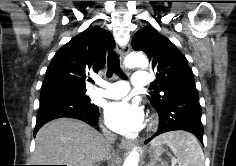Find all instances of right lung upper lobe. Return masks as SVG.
<instances>
[{
  "instance_id": "1",
  "label": "right lung upper lobe",
  "mask_w": 236,
  "mask_h": 166,
  "mask_svg": "<svg viewBox=\"0 0 236 166\" xmlns=\"http://www.w3.org/2000/svg\"><path fill=\"white\" fill-rule=\"evenodd\" d=\"M114 45L111 33L99 26L88 27L57 51L49 65L43 88L70 86L86 89L87 74L89 71L97 73L104 67L106 52Z\"/></svg>"
}]
</instances>
